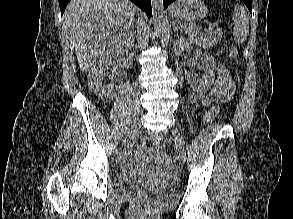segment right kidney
Returning <instances> with one entry per match:
<instances>
[{
    "instance_id": "1",
    "label": "right kidney",
    "mask_w": 293,
    "mask_h": 219,
    "mask_svg": "<svg viewBox=\"0 0 293 219\" xmlns=\"http://www.w3.org/2000/svg\"><path fill=\"white\" fill-rule=\"evenodd\" d=\"M117 68L116 62L112 58H103L95 63L88 74V84L93 93L103 100L110 102L116 95V84H107L104 81L106 70H115Z\"/></svg>"
}]
</instances>
